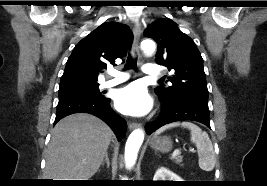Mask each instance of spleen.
I'll return each instance as SVG.
<instances>
[{"label":"spleen","instance_id":"spleen-1","mask_svg":"<svg viewBox=\"0 0 267 186\" xmlns=\"http://www.w3.org/2000/svg\"><path fill=\"white\" fill-rule=\"evenodd\" d=\"M182 126L188 128L191 132V142L194 143L197 147V152L199 156V167L205 171H211L215 166V154L213 150L212 142L206 132H203L197 125L194 123L184 121L174 122L168 125H165L158 129L155 132V136L159 135L166 129L171 127Z\"/></svg>","mask_w":267,"mask_h":186}]
</instances>
